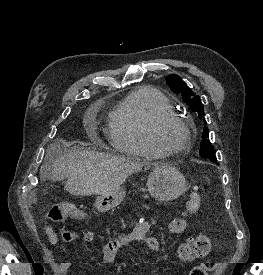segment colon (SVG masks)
<instances>
[{
    "label": "colon",
    "instance_id": "5ec220e1",
    "mask_svg": "<svg viewBox=\"0 0 263 275\" xmlns=\"http://www.w3.org/2000/svg\"><path fill=\"white\" fill-rule=\"evenodd\" d=\"M201 205V195L198 189L191 192L186 202L185 213L195 214ZM85 214L76 206L67 203L56 204L49 212V219L53 222H63L66 219L81 220ZM212 248L211 240L206 235H197L188 239L178 250V257L182 262H191L206 257ZM217 266L213 261L202 262L192 268L189 275H209Z\"/></svg>",
    "mask_w": 263,
    "mask_h": 275
}]
</instances>
